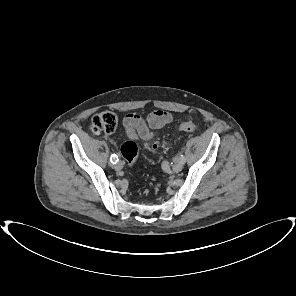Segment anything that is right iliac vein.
<instances>
[{
    "mask_svg": "<svg viewBox=\"0 0 296 296\" xmlns=\"http://www.w3.org/2000/svg\"><path fill=\"white\" fill-rule=\"evenodd\" d=\"M114 168L117 171L121 170L123 168V163L122 162H118L117 164H115Z\"/></svg>",
    "mask_w": 296,
    "mask_h": 296,
    "instance_id": "1",
    "label": "right iliac vein"
}]
</instances>
